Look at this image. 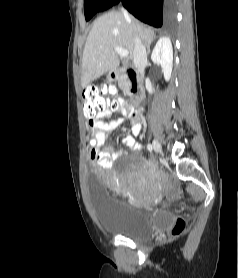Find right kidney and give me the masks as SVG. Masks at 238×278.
<instances>
[{"label": "right kidney", "mask_w": 238, "mask_h": 278, "mask_svg": "<svg viewBox=\"0 0 238 278\" xmlns=\"http://www.w3.org/2000/svg\"><path fill=\"white\" fill-rule=\"evenodd\" d=\"M151 60L154 64L161 66L165 80L169 81L173 66V48L168 37H162L156 43ZM146 88L150 93H153L154 89L149 79L146 81Z\"/></svg>", "instance_id": "obj_1"}]
</instances>
